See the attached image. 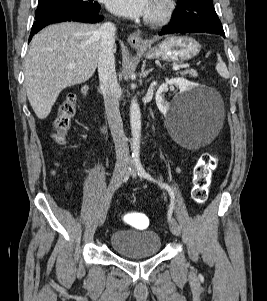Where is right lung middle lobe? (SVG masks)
I'll list each match as a JSON object with an SVG mask.
<instances>
[{"label": "right lung middle lobe", "mask_w": 267, "mask_h": 301, "mask_svg": "<svg viewBox=\"0 0 267 301\" xmlns=\"http://www.w3.org/2000/svg\"><path fill=\"white\" fill-rule=\"evenodd\" d=\"M95 4L96 2H92V0H39L38 8L35 12V18L44 14L62 10H87Z\"/></svg>", "instance_id": "dd1d6c3e"}]
</instances>
